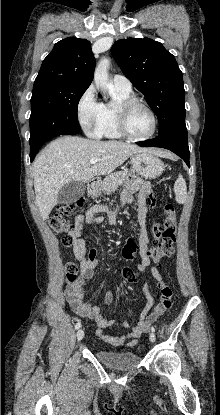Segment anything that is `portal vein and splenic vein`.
<instances>
[{
    "label": "portal vein and splenic vein",
    "mask_w": 220,
    "mask_h": 415,
    "mask_svg": "<svg viewBox=\"0 0 220 415\" xmlns=\"http://www.w3.org/2000/svg\"><path fill=\"white\" fill-rule=\"evenodd\" d=\"M99 161L97 158H93L90 160V164H96Z\"/></svg>",
    "instance_id": "18ae733b"
}]
</instances>
